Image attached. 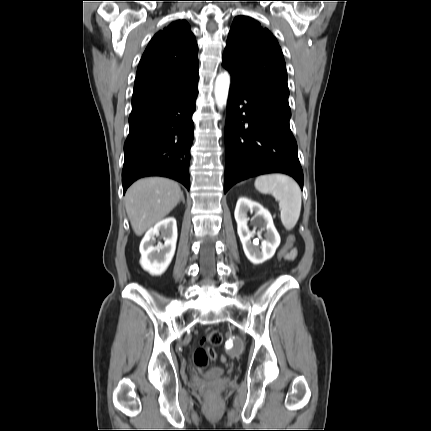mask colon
<instances>
[{"label": "colon", "mask_w": 431, "mask_h": 431, "mask_svg": "<svg viewBox=\"0 0 431 431\" xmlns=\"http://www.w3.org/2000/svg\"><path fill=\"white\" fill-rule=\"evenodd\" d=\"M295 236L290 235L287 238L286 245L284 249H279L276 251V260L281 262L283 260V255L287 253L288 248H293L295 244ZM207 346L202 344L195 352V362L198 366H205L209 360L210 366H214L216 363V351L213 347L220 346L223 342V335L219 330L213 329L209 331L205 337ZM222 363H226V354H222Z\"/></svg>", "instance_id": "obj_1"}]
</instances>
